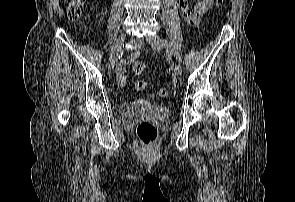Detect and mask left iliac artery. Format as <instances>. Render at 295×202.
<instances>
[{
    "label": "left iliac artery",
    "mask_w": 295,
    "mask_h": 202,
    "mask_svg": "<svg viewBox=\"0 0 295 202\" xmlns=\"http://www.w3.org/2000/svg\"><path fill=\"white\" fill-rule=\"evenodd\" d=\"M166 47H167V51H169L170 53L174 54V56L176 57V59H178L179 61L181 60L179 53L177 51H175L172 46L167 42L164 41Z\"/></svg>",
    "instance_id": "44dca946"
}]
</instances>
